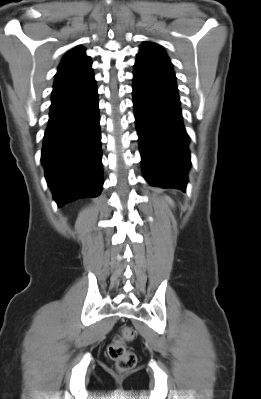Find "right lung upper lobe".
<instances>
[{
    "label": "right lung upper lobe",
    "instance_id": "1",
    "mask_svg": "<svg viewBox=\"0 0 261 399\" xmlns=\"http://www.w3.org/2000/svg\"><path fill=\"white\" fill-rule=\"evenodd\" d=\"M90 73H92L91 61L85 55V49L78 47L70 51L59 65L54 88L81 80Z\"/></svg>",
    "mask_w": 261,
    "mask_h": 399
}]
</instances>
